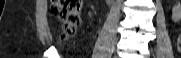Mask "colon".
<instances>
[{
	"label": "colon",
	"instance_id": "colon-1",
	"mask_svg": "<svg viewBox=\"0 0 181 58\" xmlns=\"http://www.w3.org/2000/svg\"><path fill=\"white\" fill-rule=\"evenodd\" d=\"M81 8V0H54L52 2V12L59 19L62 26L61 40H67L75 34L80 24ZM177 47L181 52V33L178 36Z\"/></svg>",
	"mask_w": 181,
	"mask_h": 58
}]
</instances>
